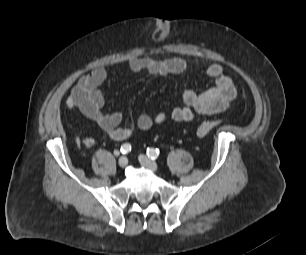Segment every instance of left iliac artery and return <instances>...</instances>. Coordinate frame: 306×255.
I'll return each mask as SVG.
<instances>
[{
	"instance_id": "left-iliac-artery-1",
	"label": "left iliac artery",
	"mask_w": 306,
	"mask_h": 255,
	"mask_svg": "<svg viewBox=\"0 0 306 255\" xmlns=\"http://www.w3.org/2000/svg\"><path fill=\"white\" fill-rule=\"evenodd\" d=\"M160 151L154 148H147V155L152 160H155L159 156Z\"/></svg>"
}]
</instances>
